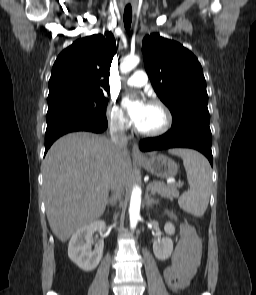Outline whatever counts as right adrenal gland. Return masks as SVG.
<instances>
[{
    "label": "right adrenal gland",
    "instance_id": "right-adrenal-gland-1",
    "mask_svg": "<svg viewBox=\"0 0 256 295\" xmlns=\"http://www.w3.org/2000/svg\"><path fill=\"white\" fill-rule=\"evenodd\" d=\"M112 204H113V198L111 197L107 200V205H112Z\"/></svg>",
    "mask_w": 256,
    "mask_h": 295
}]
</instances>
